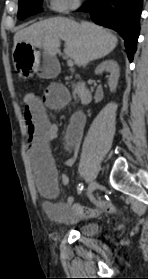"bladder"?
I'll use <instances>...</instances> for the list:
<instances>
[{
	"label": "bladder",
	"mask_w": 148,
	"mask_h": 279,
	"mask_svg": "<svg viewBox=\"0 0 148 279\" xmlns=\"http://www.w3.org/2000/svg\"><path fill=\"white\" fill-rule=\"evenodd\" d=\"M77 231L83 236L95 237L99 234L100 227L97 223L86 222L81 224Z\"/></svg>",
	"instance_id": "bladder-1"
}]
</instances>
